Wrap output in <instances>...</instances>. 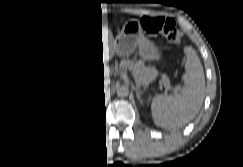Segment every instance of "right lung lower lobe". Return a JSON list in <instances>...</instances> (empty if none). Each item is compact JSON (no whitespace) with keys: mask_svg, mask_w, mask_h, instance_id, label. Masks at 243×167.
<instances>
[{"mask_svg":"<svg viewBox=\"0 0 243 167\" xmlns=\"http://www.w3.org/2000/svg\"><path fill=\"white\" fill-rule=\"evenodd\" d=\"M102 104L99 106V90L98 96L91 112L86 108L83 119L79 122L77 119V98L76 93L71 85L67 83L62 89L61 111L58 119V124L61 129L58 131L60 134L77 137L87 135L89 132L99 130L104 123L106 109H102ZM39 111L41 118L47 114L43 98L40 96Z\"/></svg>","mask_w":243,"mask_h":167,"instance_id":"right-lung-lower-lobe-1","label":"right lung lower lobe"}]
</instances>
